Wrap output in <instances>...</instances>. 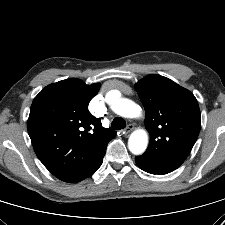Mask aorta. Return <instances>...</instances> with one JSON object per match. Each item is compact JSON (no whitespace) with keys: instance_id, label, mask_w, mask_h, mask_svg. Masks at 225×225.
<instances>
[{"instance_id":"1","label":"aorta","mask_w":225,"mask_h":225,"mask_svg":"<svg viewBox=\"0 0 225 225\" xmlns=\"http://www.w3.org/2000/svg\"><path fill=\"white\" fill-rule=\"evenodd\" d=\"M106 102L112 110L126 118H136L141 114V108L132 100L121 98L118 90H111L106 94ZM148 145V134L143 129H137L131 133L128 139V148L134 155H141Z\"/></svg>"}]
</instances>
